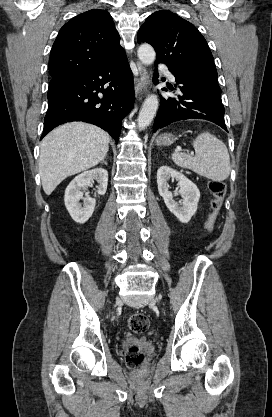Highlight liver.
Listing matches in <instances>:
<instances>
[{"label":"liver","mask_w":272,"mask_h":417,"mask_svg":"<svg viewBox=\"0 0 272 417\" xmlns=\"http://www.w3.org/2000/svg\"><path fill=\"white\" fill-rule=\"evenodd\" d=\"M109 135L82 122L61 125L41 142L39 173L43 190L50 195L67 177L101 162L109 149Z\"/></svg>","instance_id":"liver-1"}]
</instances>
